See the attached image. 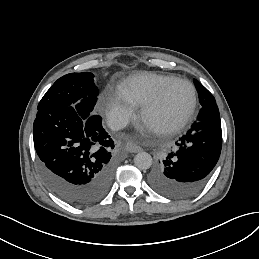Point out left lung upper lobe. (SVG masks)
<instances>
[{"label": "left lung upper lobe", "mask_w": 259, "mask_h": 259, "mask_svg": "<svg viewBox=\"0 0 259 259\" xmlns=\"http://www.w3.org/2000/svg\"><path fill=\"white\" fill-rule=\"evenodd\" d=\"M194 83L199 94L201 107L216 103L213 95L199 81L194 79Z\"/></svg>", "instance_id": "5c2ea615"}]
</instances>
